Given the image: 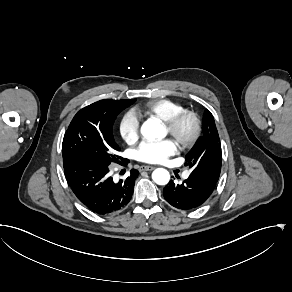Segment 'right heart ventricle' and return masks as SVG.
I'll return each instance as SVG.
<instances>
[{"instance_id": "1", "label": "right heart ventricle", "mask_w": 292, "mask_h": 292, "mask_svg": "<svg viewBox=\"0 0 292 292\" xmlns=\"http://www.w3.org/2000/svg\"><path fill=\"white\" fill-rule=\"evenodd\" d=\"M182 109V105L178 102L168 98H158L145 102L141 106L140 112L156 115L166 122Z\"/></svg>"}]
</instances>
